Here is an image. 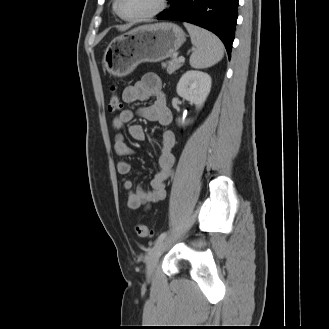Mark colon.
<instances>
[{
    "mask_svg": "<svg viewBox=\"0 0 329 329\" xmlns=\"http://www.w3.org/2000/svg\"><path fill=\"white\" fill-rule=\"evenodd\" d=\"M121 107V100L116 92V88L113 86L111 87V95L109 97L108 109L111 113H115L119 111ZM135 232L137 236L142 238L151 237L153 235V231L145 224L137 225L135 228Z\"/></svg>",
    "mask_w": 329,
    "mask_h": 329,
    "instance_id": "colon-1",
    "label": "colon"
}]
</instances>
